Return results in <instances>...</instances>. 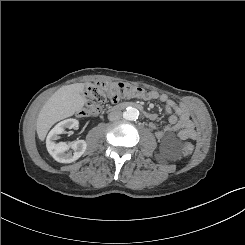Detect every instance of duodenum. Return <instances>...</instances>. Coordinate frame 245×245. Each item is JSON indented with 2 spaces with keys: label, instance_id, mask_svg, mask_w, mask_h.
<instances>
[{
  "label": "duodenum",
  "instance_id": "duodenum-1",
  "mask_svg": "<svg viewBox=\"0 0 245 245\" xmlns=\"http://www.w3.org/2000/svg\"><path fill=\"white\" fill-rule=\"evenodd\" d=\"M128 107H133V108H137L138 110L141 111V113L147 117V118H151V113H149L141 104L139 103H135V102H131V103H121L119 105H116L114 107H109L108 110L112 111V110H123L126 109Z\"/></svg>",
  "mask_w": 245,
  "mask_h": 245
}]
</instances>
